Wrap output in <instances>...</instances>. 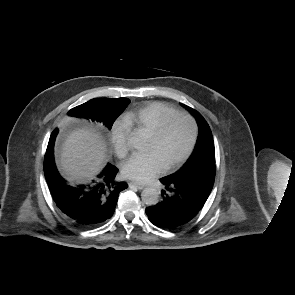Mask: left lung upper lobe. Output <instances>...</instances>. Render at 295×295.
Returning a JSON list of instances; mask_svg holds the SVG:
<instances>
[{"mask_svg": "<svg viewBox=\"0 0 295 295\" xmlns=\"http://www.w3.org/2000/svg\"><path fill=\"white\" fill-rule=\"evenodd\" d=\"M187 108L196 117L199 134L192 155L179 171L171 174L174 177H185L191 174L202 173L207 170L216 171L215 148L210 127L198 111L190 107Z\"/></svg>", "mask_w": 295, "mask_h": 295, "instance_id": "5c2ea615", "label": "left lung upper lobe"}]
</instances>
